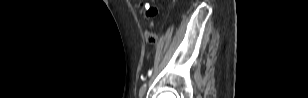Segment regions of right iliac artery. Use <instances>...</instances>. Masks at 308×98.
Listing matches in <instances>:
<instances>
[{
    "label": "right iliac artery",
    "mask_w": 308,
    "mask_h": 98,
    "mask_svg": "<svg viewBox=\"0 0 308 98\" xmlns=\"http://www.w3.org/2000/svg\"><path fill=\"white\" fill-rule=\"evenodd\" d=\"M145 91H146V84H144V85L140 88L139 96H140V97H143Z\"/></svg>",
    "instance_id": "82829eb1"
}]
</instances>
